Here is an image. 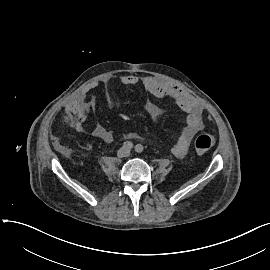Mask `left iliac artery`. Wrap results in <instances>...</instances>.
Masks as SVG:
<instances>
[{
    "label": "left iliac artery",
    "instance_id": "left-iliac-artery-1",
    "mask_svg": "<svg viewBox=\"0 0 270 270\" xmlns=\"http://www.w3.org/2000/svg\"><path fill=\"white\" fill-rule=\"evenodd\" d=\"M135 151L141 153L143 151V146L141 144H137L135 146Z\"/></svg>",
    "mask_w": 270,
    "mask_h": 270
}]
</instances>
